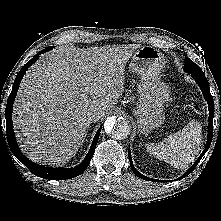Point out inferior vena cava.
Instances as JSON below:
<instances>
[{"label": "inferior vena cava", "mask_w": 221, "mask_h": 221, "mask_svg": "<svg viewBox=\"0 0 221 221\" xmlns=\"http://www.w3.org/2000/svg\"><path fill=\"white\" fill-rule=\"evenodd\" d=\"M103 114H104V112H102V111L91 113L89 116V121L90 122H97L102 117Z\"/></svg>", "instance_id": "obj_1"}]
</instances>
